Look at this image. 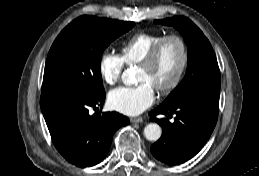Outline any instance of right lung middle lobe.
<instances>
[{"instance_id": "right-lung-middle-lobe-1", "label": "right lung middle lobe", "mask_w": 259, "mask_h": 176, "mask_svg": "<svg viewBox=\"0 0 259 176\" xmlns=\"http://www.w3.org/2000/svg\"><path fill=\"white\" fill-rule=\"evenodd\" d=\"M135 25L94 16L73 20L54 41L47 57L42 93L104 91L100 61L105 48Z\"/></svg>"}]
</instances>
